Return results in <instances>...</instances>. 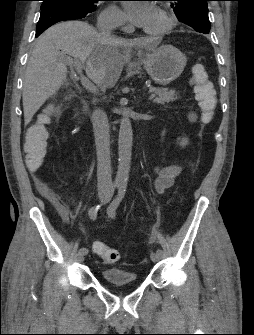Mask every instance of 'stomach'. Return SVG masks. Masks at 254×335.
<instances>
[{
	"label": "stomach",
	"instance_id": "stomach-1",
	"mask_svg": "<svg viewBox=\"0 0 254 335\" xmlns=\"http://www.w3.org/2000/svg\"><path fill=\"white\" fill-rule=\"evenodd\" d=\"M145 70L151 79L159 85H168L183 72L187 58L176 47L162 45L147 52L142 59Z\"/></svg>",
	"mask_w": 254,
	"mask_h": 335
}]
</instances>
